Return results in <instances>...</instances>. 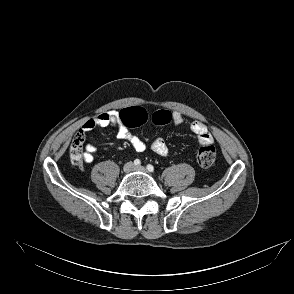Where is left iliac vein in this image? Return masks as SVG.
I'll return each instance as SVG.
<instances>
[{"label":"left iliac vein","instance_id":"4c4485c4","mask_svg":"<svg viewBox=\"0 0 294 294\" xmlns=\"http://www.w3.org/2000/svg\"><path fill=\"white\" fill-rule=\"evenodd\" d=\"M136 171L146 172V168L143 166H137L133 168Z\"/></svg>","mask_w":294,"mask_h":294}]
</instances>
